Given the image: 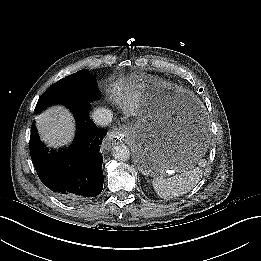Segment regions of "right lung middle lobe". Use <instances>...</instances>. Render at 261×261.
I'll use <instances>...</instances> for the list:
<instances>
[{"instance_id": "obj_1", "label": "right lung middle lobe", "mask_w": 261, "mask_h": 261, "mask_svg": "<svg viewBox=\"0 0 261 261\" xmlns=\"http://www.w3.org/2000/svg\"><path fill=\"white\" fill-rule=\"evenodd\" d=\"M88 69L69 75L50 87L39 99L35 112L52 103H63L68 107L75 104L91 102L99 97L96 78Z\"/></svg>"}]
</instances>
